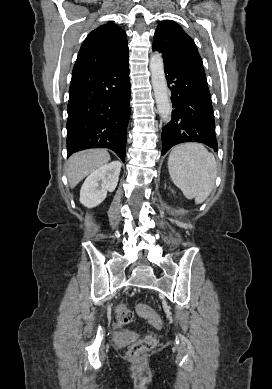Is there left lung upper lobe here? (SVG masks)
<instances>
[{
    "label": "left lung upper lobe",
    "mask_w": 272,
    "mask_h": 389,
    "mask_svg": "<svg viewBox=\"0 0 272 389\" xmlns=\"http://www.w3.org/2000/svg\"><path fill=\"white\" fill-rule=\"evenodd\" d=\"M152 49L162 53L166 64L203 67L194 41L174 21L165 20L158 25Z\"/></svg>",
    "instance_id": "5c2ea615"
}]
</instances>
